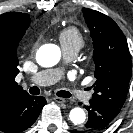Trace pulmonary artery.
Here are the masks:
<instances>
[{
	"label": "pulmonary artery",
	"instance_id": "obj_1",
	"mask_svg": "<svg viewBox=\"0 0 133 133\" xmlns=\"http://www.w3.org/2000/svg\"><path fill=\"white\" fill-rule=\"evenodd\" d=\"M63 53L65 59L68 61L75 59L77 55V51L74 50L63 51ZM63 74H64L63 67L47 69L34 74L29 80L31 83L40 86L51 85L60 81L63 78ZM67 92H69L73 97L83 101H88L91 98L90 93H86L73 86H68Z\"/></svg>",
	"mask_w": 133,
	"mask_h": 133
}]
</instances>
